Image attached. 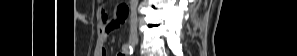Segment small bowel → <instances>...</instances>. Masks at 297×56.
Segmentation results:
<instances>
[{"label": "small bowel", "mask_w": 297, "mask_h": 56, "mask_svg": "<svg viewBox=\"0 0 297 56\" xmlns=\"http://www.w3.org/2000/svg\"><path fill=\"white\" fill-rule=\"evenodd\" d=\"M127 10L124 6H119L115 12L113 18H109L107 14L102 11V24L99 28V34L96 42V47L94 50V56H107V48L105 43L107 41L108 34L119 27V25L125 21L127 17ZM118 56H124V54L119 53Z\"/></svg>", "instance_id": "small-bowel-1"}]
</instances>
